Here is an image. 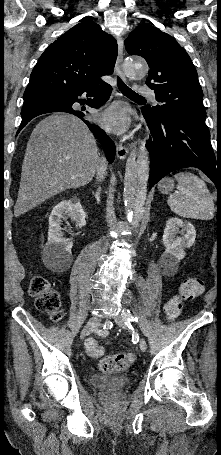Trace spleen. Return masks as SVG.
<instances>
[{"label": "spleen", "mask_w": 221, "mask_h": 455, "mask_svg": "<svg viewBox=\"0 0 221 455\" xmlns=\"http://www.w3.org/2000/svg\"><path fill=\"white\" fill-rule=\"evenodd\" d=\"M179 194L170 195L168 205L183 218L210 220L214 217V202L205 182L189 172L174 175Z\"/></svg>", "instance_id": "obj_1"}]
</instances>
